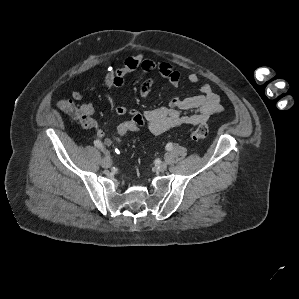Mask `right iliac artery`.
<instances>
[{
  "label": "right iliac artery",
  "mask_w": 299,
  "mask_h": 299,
  "mask_svg": "<svg viewBox=\"0 0 299 299\" xmlns=\"http://www.w3.org/2000/svg\"><path fill=\"white\" fill-rule=\"evenodd\" d=\"M94 145H95L96 147L102 149V151H104V149H103V145H102L101 141H99V140H95V141H94ZM108 158H109V157H108Z\"/></svg>",
  "instance_id": "82829eb1"
}]
</instances>
